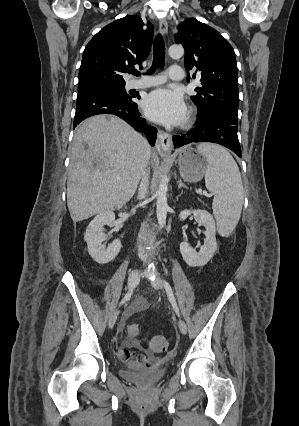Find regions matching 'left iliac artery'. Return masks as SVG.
Returning a JSON list of instances; mask_svg holds the SVG:
<instances>
[{"label": "left iliac artery", "mask_w": 299, "mask_h": 426, "mask_svg": "<svg viewBox=\"0 0 299 426\" xmlns=\"http://www.w3.org/2000/svg\"><path fill=\"white\" fill-rule=\"evenodd\" d=\"M164 287H165V290L167 292L168 298H169V300H170V302L172 304L173 309L175 310L176 314L178 316H180L179 308L177 306V303H176V300H175L172 288H171L170 284L166 280H164Z\"/></svg>", "instance_id": "1"}]
</instances>
